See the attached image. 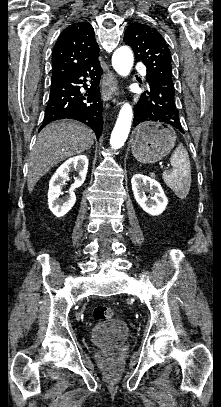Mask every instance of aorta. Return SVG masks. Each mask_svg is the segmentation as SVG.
<instances>
[{
    "instance_id": "aorta-1",
    "label": "aorta",
    "mask_w": 221,
    "mask_h": 407,
    "mask_svg": "<svg viewBox=\"0 0 221 407\" xmlns=\"http://www.w3.org/2000/svg\"><path fill=\"white\" fill-rule=\"evenodd\" d=\"M112 65L119 75H129L133 66V53L131 49L128 46H122L116 49L112 56ZM132 118V107L130 104L125 103L119 112L111 134L110 145L113 149H119L124 145L130 132Z\"/></svg>"
}]
</instances>
